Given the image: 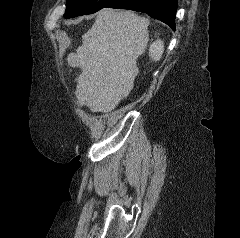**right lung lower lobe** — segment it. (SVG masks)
<instances>
[{
  "label": "right lung lower lobe",
  "instance_id": "right-lung-lower-lobe-1",
  "mask_svg": "<svg viewBox=\"0 0 240 238\" xmlns=\"http://www.w3.org/2000/svg\"><path fill=\"white\" fill-rule=\"evenodd\" d=\"M178 0H115L108 7L143 12L175 30Z\"/></svg>",
  "mask_w": 240,
  "mask_h": 238
}]
</instances>
